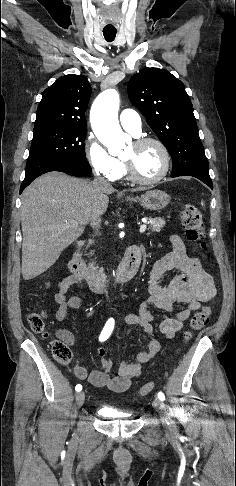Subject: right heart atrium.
<instances>
[{
    "mask_svg": "<svg viewBox=\"0 0 236 486\" xmlns=\"http://www.w3.org/2000/svg\"><path fill=\"white\" fill-rule=\"evenodd\" d=\"M85 155L97 175L109 181L121 177L124 170L123 163L112 156L93 134L89 135L85 142Z\"/></svg>",
    "mask_w": 236,
    "mask_h": 486,
    "instance_id": "1",
    "label": "right heart atrium"
}]
</instances>
